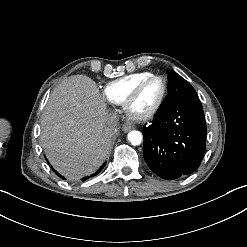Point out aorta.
<instances>
[{"mask_svg":"<svg viewBox=\"0 0 247 247\" xmlns=\"http://www.w3.org/2000/svg\"><path fill=\"white\" fill-rule=\"evenodd\" d=\"M142 134L139 131H131L128 134V140L134 146L139 145L142 141Z\"/></svg>","mask_w":247,"mask_h":247,"instance_id":"obj_1","label":"aorta"}]
</instances>
